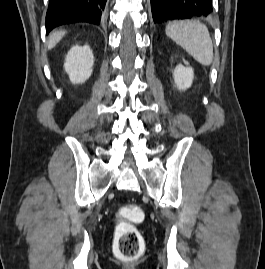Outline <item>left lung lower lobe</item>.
I'll use <instances>...</instances> for the list:
<instances>
[{
	"label": "left lung lower lobe",
	"mask_w": 265,
	"mask_h": 269,
	"mask_svg": "<svg viewBox=\"0 0 265 269\" xmlns=\"http://www.w3.org/2000/svg\"><path fill=\"white\" fill-rule=\"evenodd\" d=\"M154 23L186 18H207L212 0H151Z\"/></svg>",
	"instance_id": "0a47b994"
}]
</instances>
